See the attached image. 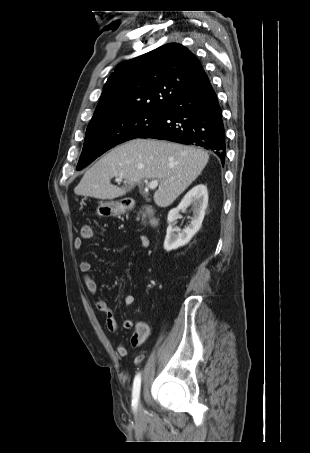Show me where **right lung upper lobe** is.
Returning a JSON list of instances; mask_svg holds the SVG:
<instances>
[{"instance_id":"obj_1","label":"right lung upper lobe","mask_w":310,"mask_h":453,"mask_svg":"<svg viewBox=\"0 0 310 453\" xmlns=\"http://www.w3.org/2000/svg\"><path fill=\"white\" fill-rule=\"evenodd\" d=\"M205 74L197 57L176 43L124 61L105 83L91 121L117 113L164 110Z\"/></svg>"}]
</instances>
